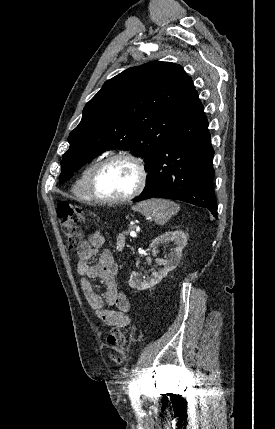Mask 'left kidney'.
<instances>
[{
  "label": "left kidney",
  "mask_w": 275,
  "mask_h": 429,
  "mask_svg": "<svg viewBox=\"0 0 275 429\" xmlns=\"http://www.w3.org/2000/svg\"><path fill=\"white\" fill-rule=\"evenodd\" d=\"M173 242L175 248L171 250L166 259H156L158 265L163 266L152 273V277L142 280L137 272H132L129 280V286L139 291L146 290L157 285L166 275L175 269L180 262L182 250L186 246L187 236L181 231L165 232L156 237L150 244V248H156L159 244Z\"/></svg>",
  "instance_id": "5707ae66"
}]
</instances>
